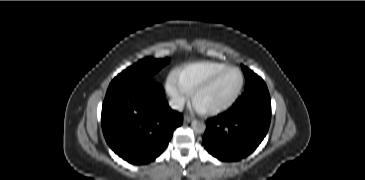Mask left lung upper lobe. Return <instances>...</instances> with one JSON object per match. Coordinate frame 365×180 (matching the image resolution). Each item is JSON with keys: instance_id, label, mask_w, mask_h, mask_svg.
<instances>
[{"instance_id": "left-lung-upper-lobe-1", "label": "left lung upper lobe", "mask_w": 365, "mask_h": 180, "mask_svg": "<svg viewBox=\"0 0 365 180\" xmlns=\"http://www.w3.org/2000/svg\"><path fill=\"white\" fill-rule=\"evenodd\" d=\"M242 70L246 77V86L245 90H248L254 86L264 84V81L253 71L249 70L247 67L242 66Z\"/></svg>"}]
</instances>
